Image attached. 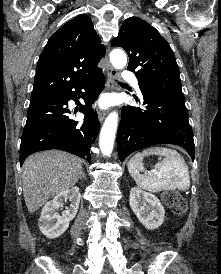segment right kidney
<instances>
[{"label":"right kidney","mask_w":221,"mask_h":274,"mask_svg":"<svg viewBox=\"0 0 221 274\" xmlns=\"http://www.w3.org/2000/svg\"><path fill=\"white\" fill-rule=\"evenodd\" d=\"M81 194L78 187L60 192L51 201L47 202L42 209L38 225L40 231L49 239L62 235L69 227V223L77 214ZM71 202L61 215L57 212L64 205L63 202Z\"/></svg>","instance_id":"obj_1"}]
</instances>
